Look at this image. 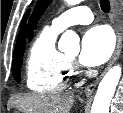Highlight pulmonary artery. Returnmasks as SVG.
I'll use <instances>...</instances> for the list:
<instances>
[{
	"label": "pulmonary artery",
	"mask_w": 123,
	"mask_h": 113,
	"mask_svg": "<svg viewBox=\"0 0 123 113\" xmlns=\"http://www.w3.org/2000/svg\"><path fill=\"white\" fill-rule=\"evenodd\" d=\"M93 21V13L90 7L78 5L72 7L53 19L51 27L57 31H63L75 24H89Z\"/></svg>",
	"instance_id": "obj_1"
}]
</instances>
